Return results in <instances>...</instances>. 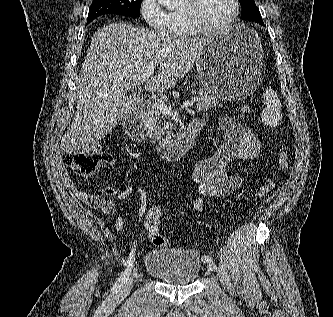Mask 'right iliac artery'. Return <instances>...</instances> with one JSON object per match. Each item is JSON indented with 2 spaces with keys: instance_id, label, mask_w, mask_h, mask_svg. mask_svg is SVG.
Wrapping results in <instances>:
<instances>
[{
  "instance_id": "1",
  "label": "right iliac artery",
  "mask_w": 333,
  "mask_h": 317,
  "mask_svg": "<svg viewBox=\"0 0 333 317\" xmlns=\"http://www.w3.org/2000/svg\"><path fill=\"white\" fill-rule=\"evenodd\" d=\"M134 259H135L134 249H132V251L130 252V255H129L126 270L118 278V280L116 281V283L113 285V287L111 289L113 294L117 293L122 288V286L125 284V282L128 280L132 267H133Z\"/></svg>"
}]
</instances>
